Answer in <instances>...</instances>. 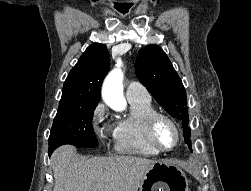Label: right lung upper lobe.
I'll list each match as a JSON object with an SVG mask.
<instances>
[{
  "label": "right lung upper lobe",
  "instance_id": "obj_1",
  "mask_svg": "<svg viewBox=\"0 0 251 191\" xmlns=\"http://www.w3.org/2000/svg\"><path fill=\"white\" fill-rule=\"evenodd\" d=\"M109 61L105 45H90L66 78L58 108L98 104Z\"/></svg>",
  "mask_w": 251,
  "mask_h": 191
}]
</instances>
